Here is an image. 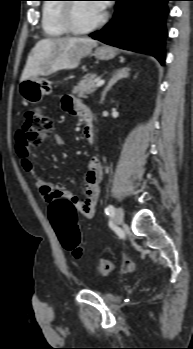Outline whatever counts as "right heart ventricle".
<instances>
[{"label":"right heart ventricle","mask_w":193,"mask_h":349,"mask_svg":"<svg viewBox=\"0 0 193 349\" xmlns=\"http://www.w3.org/2000/svg\"><path fill=\"white\" fill-rule=\"evenodd\" d=\"M62 0H47L43 5L41 27L44 36L50 39L64 37L68 34L61 22Z\"/></svg>","instance_id":"obj_1"}]
</instances>
